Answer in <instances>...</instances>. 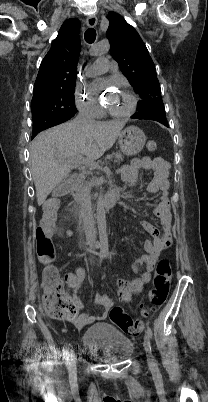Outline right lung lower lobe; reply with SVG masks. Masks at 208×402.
<instances>
[{"instance_id":"right-lung-lower-lobe-1","label":"right lung lower lobe","mask_w":208,"mask_h":402,"mask_svg":"<svg viewBox=\"0 0 208 402\" xmlns=\"http://www.w3.org/2000/svg\"><path fill=\"white\" fill-rule=\"evenodd\" d=\"M70 118H58V117H53V116H47V117H39L35 120H33V134H32V139L41 131L53 127L55 125L61 124Z\"/></svg>"}]
</instances>
